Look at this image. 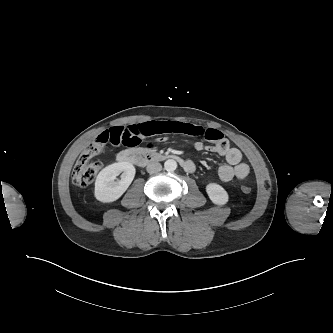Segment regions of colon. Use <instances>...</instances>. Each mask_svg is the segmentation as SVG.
Masks as SVG:
<instances>
[{
  "instance_id": "colon-1",
  "label": "colon",
  "mask_w": 333,
  "mask_h": 333,
  "mask_svg": "<svg viewBox=\"0 0 333 333\" xmlns=\"http://www.w3.org/2000/svg\"><path fill=\"white\" fill-rule=\"evenodd\" d=\"M105 144L106 142L102 140H96L80 154L72 173V179L76 185L84 187L94 180L101 168V163L94 159L104 151ZM241 189L245 194L251 192L250 187L246 185H243Z\"/></svg>"
}]
</instances>
